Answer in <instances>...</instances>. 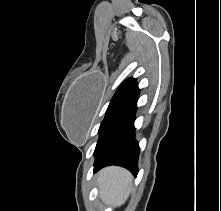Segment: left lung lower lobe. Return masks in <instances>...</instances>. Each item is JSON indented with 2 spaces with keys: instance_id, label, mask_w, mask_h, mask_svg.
Wrapping results in <instances>:
<instances>
[{
  "instance_id": "obj_1",
  "label": "left lung lower lobe",
  "mask_w": 221,
  "mask_h": 211,
  "mask_svg": "<svg viewBox=\"0 0 221 211\" xmlns=\"http://www.w3.org/2000/svg\"><path fill=\"white\" fill-rule=\"evenodd\" d=\"M137 100L138 97L118 113L100 135L94 151V171L117 165L137 175L139 145L134 138Z\"/></svg>"
}]
</instances>
